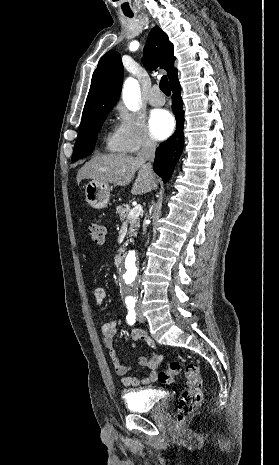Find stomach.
<instances>
[{
	"label": "stomach",
	"instance_id": "1",
	"mask_svg": "<svg viewBox=\"0 0 279 465\" xmlns=\"http://www.w3.org/2000/svg\"><path fill=\"white\" fill-rule=\"evenodd\" d=\"M85 197L92 208L103 209L109 202L110 188L107 183L92 180L85 185Z\"/></svg>",
	"mask_w": 279,
	"mask_h": 465
}]
</instances>
